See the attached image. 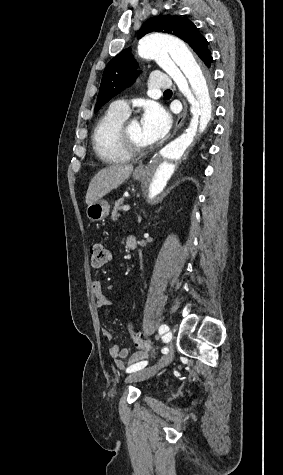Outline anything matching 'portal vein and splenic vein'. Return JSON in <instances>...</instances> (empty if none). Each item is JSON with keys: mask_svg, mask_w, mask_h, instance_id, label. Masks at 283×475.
Wrapping results in <instances>:
<instances>
[{"mask_svg": "<svg viewBox=\"0 0 283 475\" xmlns=\"http://www.w3.org/2000/svg\"><path fill=\"white\" fill-rule=\"evenodd\" d=\"M123 210L124 212H128V210H130V206H123Z\"/></svg>", "mask_w": 283, "mask_h": 475, "instance_id": "18ae733b", "label": "portal vein and splenic vein"}]
</instances>
